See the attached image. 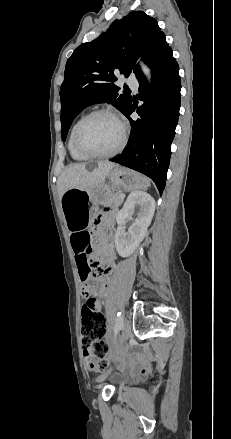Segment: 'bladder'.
Listing matches in <instances>:
<instances>
[{"instance_id":"1","label":"bladder","mask_w":231,"mask_h":439,"mask_svg":"<svg viewBox=\"0 0 231 439\" xmlns=\"http://www.w3.org/2000/svg\"><path fill=\"white\" fill-rule=\"evenodd\" d=\"M106 378L113 385H124V384H127L131 381L130 376L125 375V374H117V375H112L109 377L107 375H103L101 378H99V380H104Z\"/></svg>"}]
</instances>
